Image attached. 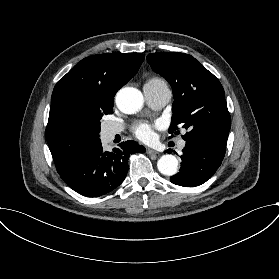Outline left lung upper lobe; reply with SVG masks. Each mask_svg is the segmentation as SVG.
Listing matches in <instances>:
<instances>
[{
  "label": "left lung upper lobe",
  "instance_id": "1",
  "mask_svg": "<svg viewBox=\"0 0 279 279\" xmlns=\"http://www.w3.org/2000/svg\"><path fill=\"white\" fill-rule=\"evenodd\" d=\"M147 61L173 90L169 133L180 125L188 130L182 136L185 141L202 139L226 145L231 117L220 81L188 54L158 52L149 54Z\"/></svg>",
  "mask_w": 279,
  "mask_h": 279
}]
</instances>
